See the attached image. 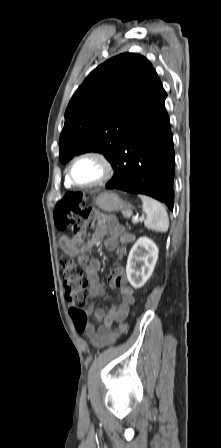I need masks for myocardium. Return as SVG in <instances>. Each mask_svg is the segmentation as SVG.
I'll list each match as a JSON object with an SVG mask.
<instances>
[{
    "mask_svg": "<svg viewBox=\"0 0 221 448\" xmlns=\"http://www.w3.org/2000/svg\"><path fill=\"white\" fill-rule=\"evenodd\" d=\"M82 158H93L101 163L104 169L103 176L96 182L90 183V184H81L74 180L72 176V169L76 161L82 159ZM115 174V167L112 163V161L109 159L108 156H106L102 152L98 151H87L84 153H81L73 158V160L70 162L68 171H67V179L70 182L72 186H76L79 188H95L99 186H103L107 184L114 176Z\"/></svg>",
    "mask_w": 221,
    "mask_h": 448,
    "instance_id": "obj_1",
    "label": "myocardium"
}]
</instances>
